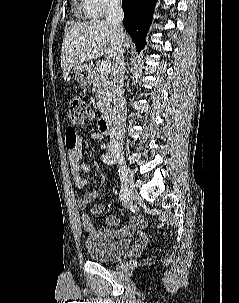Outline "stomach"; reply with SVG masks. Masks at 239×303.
Returning a JSON list of instances; mask_svg holds the SVG:
<instances>
[{
    "label": "stomach",
    "instance_id": "0dacf381",
    "mask_svg": "<svg viewBox=\"0 0 239 303\" xmlns=\"http://www.w3.org/2000/svg\"><path fill=\"white\" fill-rule=\"evenodd\" d=\"M91 67L88 64H78L74 66L73 73L75 75V78L82 84L87 85L90 84L92 81L91 76Z\"/></svg>",
    "mask_w": 239,
    "mask_h": 303
}]
</instances>
